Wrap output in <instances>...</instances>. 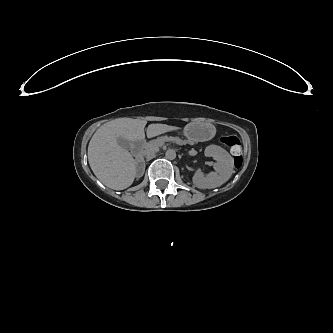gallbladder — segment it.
<instances>
[{"instance_id":"obj_1","label":"gallbladder","mask_w":333,"mask_h":333,"mask_svg":"<svg viewBox=\"0 0 333 333\" xmlns=\"http://www.w3.org/2000/svg\"><path fill=\"white\" fill-rule=\"evenodd\" d=\"M119 144H120V146H122L123 148H125L129 151H133V149L135 148L134 143L129 140L120 139Z\"/></svg>"}]
</instances>
